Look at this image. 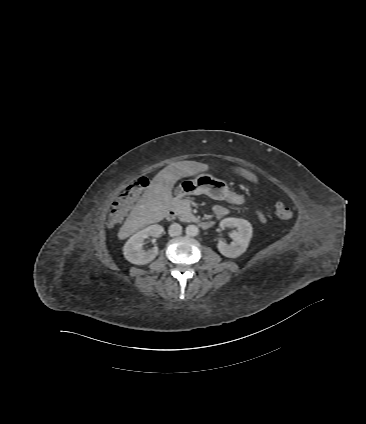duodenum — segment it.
<instances>
[{"label":"duodenum","instance_id":"obj_1","mask_svg":"<svg viewBox=\"0 0 366 424\" xmlns=\"http://www.w3.org/2000/svg\"><path fill=\"white\" fill-rule=\"evenodd\" d=\"M174 216H175V210L173 207H170L166 212V217L167 219H173ZM213 224H214L213 221L206 220V221H202L200 223V226L202 229L208 230L213 226Z\"/></svg>","mask_w":366,"mask_h":424}]
</instances>
